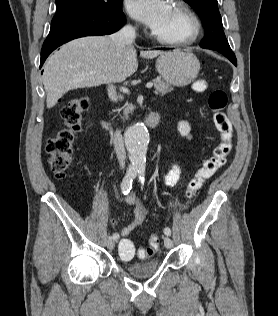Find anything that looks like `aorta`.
Masks as SVG:
<instances>
[{"label":"aorta","instance_id":"obj_1","mask_svg":"<svg viewBox=\"0 0 278 316\" xmlns=\"http://www.w3.org/2000/svg\"><path fill=\"white\" fill-rule=\"evenodd\" d=\"M125 144L132 168L144 171L149 144V133L144 123H135L127 129L125 133Z\"/></svg>","mask_w":278,"mask_h":316}]
</instances>
